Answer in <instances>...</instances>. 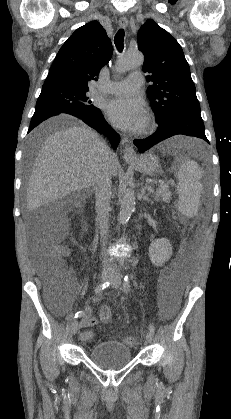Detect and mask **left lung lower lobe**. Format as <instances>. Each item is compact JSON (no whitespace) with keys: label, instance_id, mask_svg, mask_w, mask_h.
Here are the masks:
<instances>
[{"label":"left lung lower lobe","instance_id":"0a47b994","mask_svg":"<svg viewBox=\"0 0 231 419\" xmlns=\"http://www.w3.org/2000/svg\"><path fill=\"white\" fill-rule=\"evenodd\" d=\"M158 125L157 131L150 137L143 140H134V144L140 153L169 137L179 134L201 138L209 143L204 133V123L200 112H183L166 123L158 121Z\"/></svg>","mask_w":231,"mask_h":419}]
</instances>
